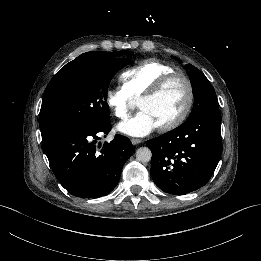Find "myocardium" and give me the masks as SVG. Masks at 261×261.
Masks as SVG:
<instances>
[{
    "label": "myocardium",
    "instance_id": "1",
    "mask_svg": "<svg viewBox=\"0 0 261 261\" xmlns=\"http://www.w3.org/2000/svg\"><path fill=\"white\" fill-rule=\"evenodd\" d=\"M177 78H181L183 79V81L185 82L186 86H187V100L186 103L182 109V111L172 120L168 121L167 123L159 126V129L162 131H169L172 130L174 128H176L177 126H179L189 115L193 103H194V97H195V93H194V87H193V83L190 79V77L183 73V72H178V71H172L170 73H167L165 75H163L154 85L153 87L150 89V91L146 94H144L140 100H139V106L140 103L146 100H151L156 98L157 96H159L163 90L175 79Z\"/></svg>",
    "mask_w": 261,
    "mask_h": 261
}]
</instances>
